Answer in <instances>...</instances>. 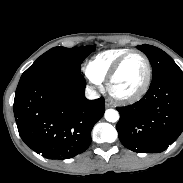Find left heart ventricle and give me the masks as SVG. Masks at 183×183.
Masks as SVG:
<instances>
[{"mask_svg":"<svg viewBox=\"0 0 183 183\" xmlns=\"http://www.w3.org/2000/svg\"><path fill=\"white\" fill-rule=\"evenodd\" d=\"M146 66L142 57L131 54L121 65L112 81V89L121 95H128L137 91L144 82Z\"/></svg>","mask_w":183,"mask_h":183,"instance_id":"obj_1","label":"left heart ventricle"}]
</instances>
